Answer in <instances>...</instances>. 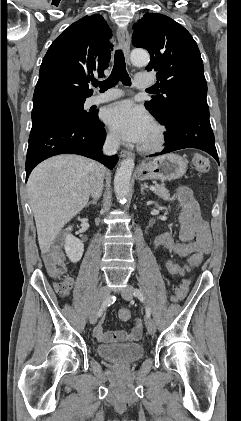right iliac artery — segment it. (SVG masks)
Returning <instances> with one entry per match:
<instances>
[{
    "mask_svg": "<svg viewBox=\"0 0 241 421\" xmlns=\"http://www.w3.org/2000/svg\"><path fill=\"white\" fill-rule=\"evenodd\" d=\"M115 300H116V298L114 296H110V297L106 298L103 301V303H102V305H101V307H100V309L98 311V314H97L98 317H100L103 314V312L106 310V308L108 306H110L111 304H113L115 302Z\"/></svg>",
    "mask_w": 241,
    "mask_h": 421,
    "instance_id": "right-iliac-artery-1",
    "label": "right iliac artery"
}]
</instances>
